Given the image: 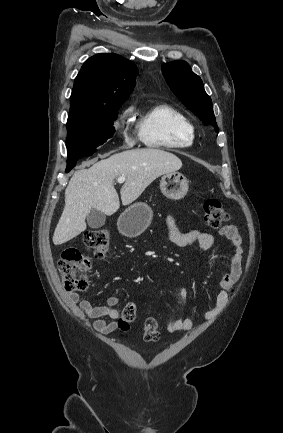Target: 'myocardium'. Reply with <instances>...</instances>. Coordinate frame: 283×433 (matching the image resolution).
<instances>
[{"label":"myocardium","instance_id":"1","mask_svg":"<svg viewBox=\"0 0 283 433\" xmlns=\"http://www.w3.org/2000/svg\"><path fill=\"white\" fill-rule=\"evenodd\" d=\"M189 136L193 139V136H194L193 130L190 132Z\"/></svg>","mask_w":283,"mask_h":433}]
</instances>
